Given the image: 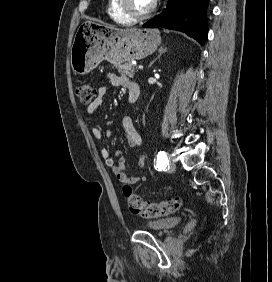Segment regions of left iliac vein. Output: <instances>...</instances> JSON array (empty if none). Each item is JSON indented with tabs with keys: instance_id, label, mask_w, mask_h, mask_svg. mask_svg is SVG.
<instances>
[{
	"instance_id": "left-iliac-vein-1",
	"label": "left iliac vein",
	"mask_w": 272,
	"mask_h": 282,
	"mask_svg": "<svg viewBox=\"0 0 272 282\" xmlns=\"http://www.w3.org/2000/svg\"><path fill=\"white\" fill-rule=\"evenodd\" d=\"M176 169V165L174 163V161L172 160L171 157H169V160H168V170L171 171V172H174Z\"/></svg>"
}]
</instances>
